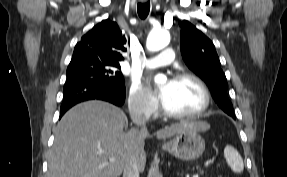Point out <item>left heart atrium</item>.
<instances>
[{
	"label": "left heart atrium",
	"mask_w": 287,
	"mask_h": 177,
	"mask_svg": "<svg viewBox=\"0 0 287 177\" xmlns=\"http://www.w3.org/2000/svg\"><path fill=\"white\" fill-rule=\"evenodd\" d=\"M172 81H169L168 84H170ZM164 95H165V88H161L159 91H158V96L161 100H163L164 98Z\"/></svg>",
	"instance_id": "left-heart-atrium-1"
}]
</instances>
